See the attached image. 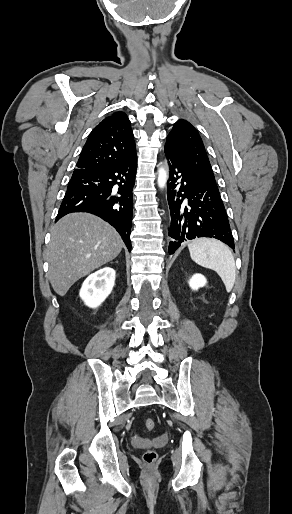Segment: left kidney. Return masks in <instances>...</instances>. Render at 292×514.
<instances>
[{
    "mask_svg": "<svg viewBox=\"0 0 292 514\" xmlns=\"http://www.w3.org/2000/svg\"><path fill=\"white\" fill-rule=\"evenodd\" d=\"M207 284L206 278L202 276V274H194L191 280H189V286L192 290H198V288H203Z\"/></svg>",
    "mask_w": 292,
    "mask_h": 514,
    "instance_id": "1",
    "label": "left kidney"
}]
</instances>
